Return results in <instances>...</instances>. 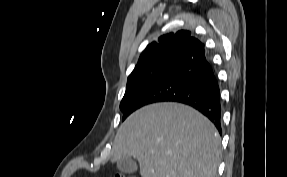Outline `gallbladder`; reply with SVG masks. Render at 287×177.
I'll use <instances>...</instances> for the list:
<instances>
[{
	"label": "gallbladder",
	"mask_w": 287,
	"mask_h": 177,
	"mask_svg": "<svg viewBox=\"0 0 287 177\" xmlns=\"http://www.w3.org/2000/svg\"><path fill=\"white\" fill-rule=\"evenodd\" d=\"M117 168L122 172L126 174H133L137 171V163L136 161L131 158H122L116 162Z\"/></svg>",
	"instance_id": "obj_1"
}]
</instances>
